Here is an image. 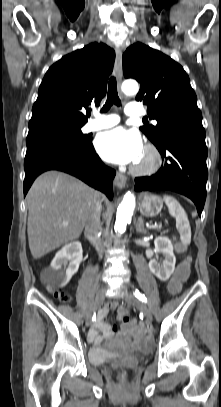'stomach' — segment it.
<instances>
[{
  "label": "stomach",
  "mask_w": 221,
  "mask_h": 407,
  "mask_svg": "<svg viewBox=\"0 0 221 407\" xmlns=\"http://www.w3.org/2000/svg\"><path fill=\"white\" fill-rule=\"evenodd\" d=\"M163 207V200L153 194H145L142 198L140 212L143 216L153 217L158 215Z\"/></svg>",
  "instance_id": "0dacf381"
}]
</instances>
